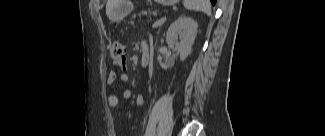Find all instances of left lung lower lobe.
I'll return each mask as SVG.
<instances>
[{
  "label": "left lung lower lobe",
  "mask_w": 325,
  "mask_h": 136,
  "mask_svg": "<svg viewBox=\"0 0 325 136\" xmlns=\"http://www.w3.org/2000/svg\"><path fill=\"white\" fill-rule=\"evenodd\" d=\"M213 5H215L216 0H210Z\"/></svg>",
  "instance_id": "0a47b994"
}]
</instances>
